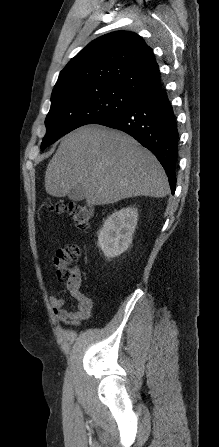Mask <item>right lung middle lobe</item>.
Here are the masks:
<instances>
[{
	"label": "right lung middle lobe",
	"instance_id": "dd1d6c3e",
	"mask_svg": "<svg viewBox=\"0 0 219 447\" xmlns=\"http://www.w3.org/2000/svg\"><path fill=\"white\" fill-rule=\"evenodd\" d=\"M138 100L110 85H78L52 92L51 108L45 120L47 132L41 150L72 130L96 124Z\"/></svg>",
	"mask_w": 219,
	"mask_h": 447
}]
</instances>
